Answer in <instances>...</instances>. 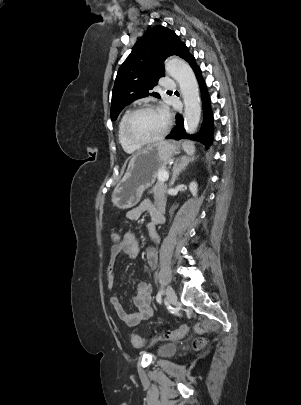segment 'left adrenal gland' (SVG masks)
<instances>
[{
    "instance_id": "left-adrenal-gland-1",
    "label": "left adrenal gland",
    "mask_w": 301,
    "mask_h": 405,
    "mask_svg": "<svg viewBox=\"0 0 301 405\" xmlns=\"http://www.w3.org/2000/svg\"><path fill=\"white\" fill-rule=\"evenodd\" d=\"M194 158H189V157H182L180 159H178L172 169V178L170 181V186H173L175 183V180L177 179V177L179 176V174L186 169V167L188 166V164L190 162H193Z\"/></svg>"
}]
</instances>
